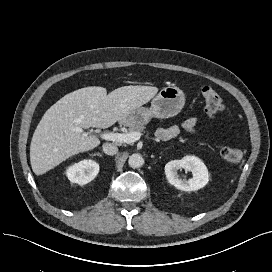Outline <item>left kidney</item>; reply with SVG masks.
I'll use <instances>...</instances> for the list:
<instances>
[{
    "mask_svg": "<svg viewBox=\"0 0 272 272\" xmlns=\"http://www.w3.org/2000/svg\"><path fill=\"white\" fill-rule=\"evenodd\" d=\"M179 169L192 173V178H180ZM168 182L182 191H196L203 188L209 181V173L205 164L195 156H185L181 160H172L165 165Z\"/></svg>",
    "mask_w": 272,
    "mask_h": 272,
    "instance_id": "obj_1",
    "label": "left kidney"
}]
</instances>
